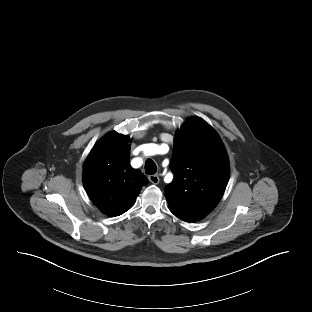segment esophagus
Returning <instances> with one entry per match:
<instances>
[{
    "instance_id": "34e87169",
    "label": "esophagus",
    "mask_w": 312,
    "mask_h": 312,
    "mask_svg": "<svg viewBox=\"0 0 312 312\" xmlns=\"http://www.w3.org/2000/svg\"><path fill=\"white\" fill-rule=\"evenodd\" d=\"M148 179L153 184H158L160 180L158 175H149Z\"/></svg>"
}]
</instances>
